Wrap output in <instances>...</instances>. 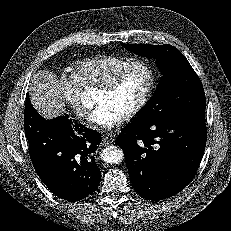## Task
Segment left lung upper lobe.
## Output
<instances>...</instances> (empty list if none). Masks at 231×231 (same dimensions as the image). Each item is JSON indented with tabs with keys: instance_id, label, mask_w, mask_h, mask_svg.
Returning <instances> with one entry per match:
<instances>
[{
	"instance_id": "left-lung-upper-lobe-1",
	"label": "left lung upper lobe",
	"mask_w": 231,
	"mask_h": 231,
	"mask_svg": "<svg viewBox=\"0 0 231 231\" xmlns=\"http://www.w3.org/2000/svg\"><path fill=\"white\" fill-rule=\"evenodd\" d=\"M129 51L155 58L163 77L147 106L132 123H162L179 116L205 111L202 83L185 56L174 46L122 44Z\"/></svg>"
}]
</instances>
